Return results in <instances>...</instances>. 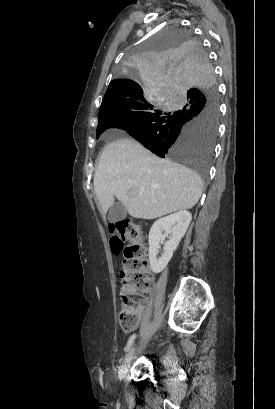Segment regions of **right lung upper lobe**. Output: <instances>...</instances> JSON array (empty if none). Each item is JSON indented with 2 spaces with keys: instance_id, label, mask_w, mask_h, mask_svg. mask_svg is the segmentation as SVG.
Returning <instances> with one entry per match:
<instances>
[{
  "instance_id": "cb5924a9",
  "label": "right lung upper lobe",
  "mask_w": 275,
  "mask_h": 409,
  "mask_svg": "<svg viewBox=\"0 0 275 409\" xmlns=\"http://www.w3.org/2000/svg\"><path fill=\"white\" fill-rule=\"evenodd\" d=\"M144 96L141 86L128 79L112 80L104 95L99 112L112 108L121 100Z\"/></svg>"
}]
</instances>
